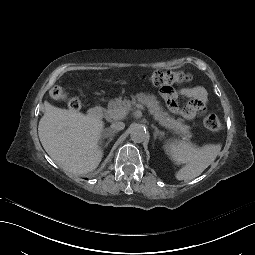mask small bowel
<instances>
[{
	"mask_svg": "<svg viewBox=\"0 0 255 255\" xmlns=\"http://www.w3.org/2000/svg\"><path fill=\"white\" fill-rule=\"evenodd\" d=\"M164 94H170V91L163 90ZM180 94L189 98L188 104L183 108L173 107V112H180L186 119H192L199 114L207 102V92L201 86L186 87L181 89Z\"/></svg>",
	"mask_w": 255,
	"mask_h": 255,
	"instance_id": "c3829d8e",
	"label": "small bowel"
}]
</instances>
